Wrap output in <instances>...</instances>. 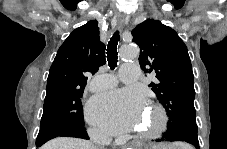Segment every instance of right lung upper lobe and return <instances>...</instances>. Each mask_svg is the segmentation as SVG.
<instances>
[{
	"instance_id": "right-lung-upper-lobe-1",
	"label": "right lung upper lobe",
	"mask_w": 227,
	"mask_h": 149,
	"mask_svg": "<svg viewBox=\"0 0 227 149\" xmlns=\"http://www.w3.org/2000/svg\"><path fill=\"white\" fill-rule=\"evenodd\" d=\"M97 24L89 21L67 37L51 65L47 90L85 88L87 73L95 74L105 64V45L99 40Z\"/></svg>"
}]
</instances>
